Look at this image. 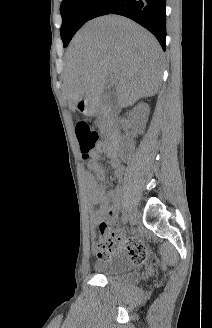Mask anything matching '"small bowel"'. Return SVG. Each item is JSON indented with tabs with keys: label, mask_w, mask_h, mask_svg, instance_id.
<instances>
[{
	"label": "small bowel",
	"mask_w": 212,
	"mask_h": 328,
	"mask_svg": "<svg viewBox=\"0 0 212 328\" xmlns=\"http://www.w3.org/2000/svg\"><path fill=\"white\" fill-rule=\"evenodd\" d=\"M105 144L99 143L93 154L89 167L95 172V176L87 174L85 176L86 194L90 204L98 205V209L92 214L93 225H100L107 220V224L117 222L120 209L121 197L118 190H107L105 185V172L98 164L97 159L104 153ZM115 168V176L121 179L124 176L125 169L118 160L112 161ZM96 250V247L94 246ZM144 250L142 242L136 237H125L119 233L117 246L110 257L128 258L132 262H136L139 255ZM145 251V250H144Z\"/></svg>",
	"instance_id": "c3829d8e"
}]
</instances>
